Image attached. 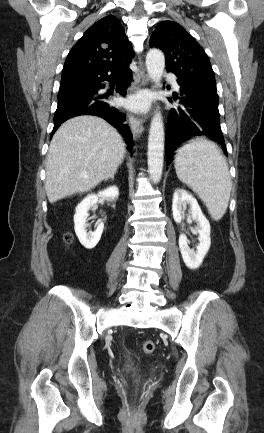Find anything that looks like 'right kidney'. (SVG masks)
<instances>
[{
	"mask_svg": "<svg viewBox=\"0 0 264 433\" xmlns=\"http://www.w3.org/2000/svg\"><path fill=\"white\" fill-rule=\"evenodd\" d=\"M119 195V190L116 186H111L98 194H89L86 196L76 207V213L74 215V228L76 235L80 241V243L87 249L94 248L102 235L104 229V223L101 221H97V228L95 231L87 232V217L88 211L92 207H96L99 198L112 201L116 199Z\"/></svg>",
	"mask_w": 264,
	"mask_h": 433,
	"instance_id": "1",
	"label": "right kidney"
}]
</instances>
